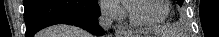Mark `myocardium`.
<instances>
[{
	"mask_svg": "<svg viewBox=\"0 0 219 37\" xmlns=\"http://www.w3.org/2000/svg\"><path fill=\"white\" fill-rule=\"evenodd\" d=\"M136 1H142V0H131V1H128L127 5H126L129 20H130L131 24L134 26H137V27H155V26L162 24L170 14V1L162 0L165 11L160 18H158L156 20H147V21L139 20L134 16V14L132 12V3L136 2Z\"/></svg>",
	"mask_w": 219,
	"mask_h": 37,
	"instance_id": "1",
	"label": "myocardium"
}]
</instances>
